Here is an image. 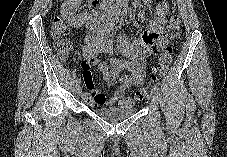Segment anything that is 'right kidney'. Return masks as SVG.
I'll return each mask as SVG.
<instances>
[{
  "instance_id": "1",
  "label": "right kidney",
  "mask_w": 227,
  "mask_h": 157,
  "mask_svg": "<svg viewBox=\"0 0 227 157\" xmlns=\"http://www.w3.org/2000/svg\"><path fill=\"white\" fill-rule=\"evenodd\" d=\"M74 8V3L71 1H65L61 7V14L68 24L75 26L77 23H79L81 17L75 14Z\"/></svg>"
}]
</instances>
